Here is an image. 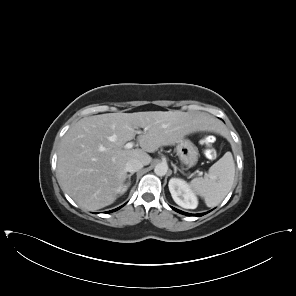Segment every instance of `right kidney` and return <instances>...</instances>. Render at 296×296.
I'll return each mask as SVG.
<instances>
[{"mask_svg": "<svg viewBox=\"0 0 296 296\" xmlns=\"http://www.w3.org/2000/svg\"><path fill=\"white\" fill-rule=\"evenodd\" d=\"M130 185V183L129 184H127V185H122L121 187H119V189L117 190V192L121 195V194H123V193H125V191L128 189V186Z\"/></svg>", "mask_w": 296, "mask_h": 296, "instance_id": "right-kidney-1", "label": "right kidney"}]
</instances>
